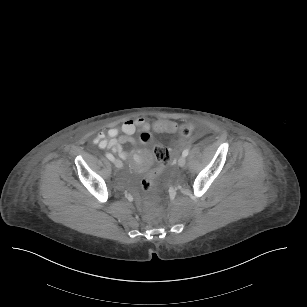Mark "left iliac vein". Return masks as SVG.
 <instances>
[{
	"label": "left iliac vein",
	"instance_id": "1",
	"mask_svg": "<svg viewBox=\"0 0 307 307\" xmlns=\"http://www.w3.org/2000/svg\"><path fill=\"white\" fill-rule=\"evenodd\" d=\"M185 164H186V157L181 156V157L178 159V165H179L180 167H184Z\"/></svg>",
	"mask_w": 307,
	"mask_h": 307
}]
</instances>
